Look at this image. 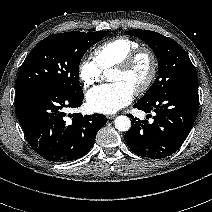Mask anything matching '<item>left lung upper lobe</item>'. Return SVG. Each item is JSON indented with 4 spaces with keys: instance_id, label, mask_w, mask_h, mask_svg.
<instances>
[{
    "instance_id": "obj_1",
    "label": "left lung upper lobe",
    "mask_w": 212,
    "mask_h": 212,
    "mask_svg": "<svg viewBox=\"0 0 212 212\" xmlns=\"http://www.w3.org/2000/svg\"><path fill=\"white\" fill-rule=\"evenodd\" d=\"M125 34L145 41L158 59V77L139 101L148 102L177 86L198 82L197 73L188 54L173 39L141 29L126 31Z\"/></svg>"
}]
</instances>
